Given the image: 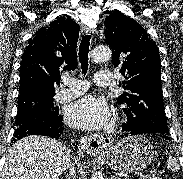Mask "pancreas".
Returning a JSON list of instances; mask_svg holds the SVG:
<instances>
[{"label":"pancreas","mask_w":183,"mask_h":179,"mask_svg":"<svg viewBox=\"0 0 183 179\" xmlns=\"http://www.w3.org/2000/svg\"><path fill=\"white\" fill-rule=\"evenodd\" d=\"M147 179H161V177L157 174H153L147 177Z\"/></svg>","instance_id":"cf45deb5"}]
</instances>
